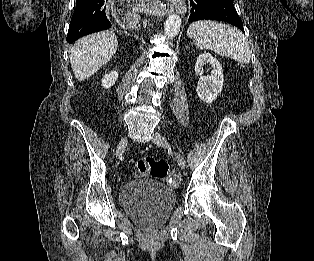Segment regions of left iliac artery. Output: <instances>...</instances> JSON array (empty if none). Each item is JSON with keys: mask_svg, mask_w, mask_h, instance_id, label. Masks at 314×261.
Returning <instances> with one entry per match:
<instances>
[{"mask_svg": "<svg viewBox=\"0 0 314 261\" xmlns=\"http://www.w3.org/2000/svg\"><path fill=\"white\" fill-rule=\"evenodd\" d=\"M178 149H179V151H180V152H182V150H181V148H180V147H178Z\"/></svg>", "mask_w": 314, "mask_h": 261, "instance_id": "left-iliac-artery-1", "label": "left iliac artery"}]
</instances>
